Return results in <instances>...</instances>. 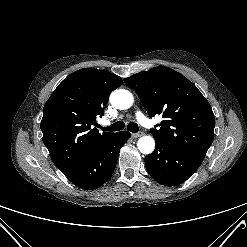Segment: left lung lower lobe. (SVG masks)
I'll return each mask as SVG.
<instances>
[{
	"instance_id": "0a47b994",
	"label": "left lung lower lobe",
	"mask_w": 247,
	"mask_h": 247,
	"mask_svg": "<svg viewBox=\"0 0 247 247\" xmlns=\"http://www.w3.org/2000/svg\"><path fill=\"white\" fill-rule=\"evenodd\" d=\"M155 141V151L145 157V166L147 172L162 185L182 184L203 162V157Z\"/></svg>"
}]
</instances>
